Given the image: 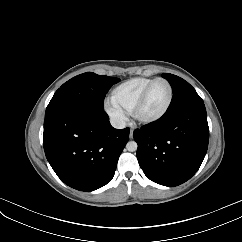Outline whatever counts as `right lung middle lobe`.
<instances>
[{
  "label": "right lung middle lobe",
  "instance_id": "1",
  "mask_svg": "<svg viewBox=\"0 0 242 242\" xmlns=\"http://www.w3.org/2000/svg\"><path fill=\"white\" fill-rule=\"evenodd\" d=\"M119 78L86 72L73 77L59 88L47 106L46 113L68 105H90L104 109L103 101L109 88Z\"/></svg>",
  "mask_w": 242,
  "mask_h": 242
}]
</instances>
